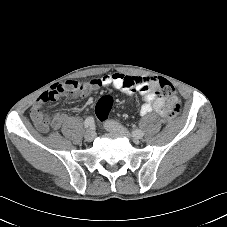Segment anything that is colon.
Segmentation results:
<instances>
[{
    "label": "colon",
    "instance_id": "5ec220e1",
    "mask_svg": "<svg viewBox=\"0 0 227 227\" xmlns=\"http://www.w3.org/2000/svg\"><path fill=\"white\" fill-rule=\"evenodd\" d=\"M158 85L163 94L170 95V94L174 93L173 85L166 79H164V78L159 79ZM112 105H113V101H112L111 96H109V95L102 96L98 100L97 105H96L97 117L100 120L106 119V117L108 116V114L112 108ZM168 117H172V116L168 115Z\"/></svg>",
    "mask_w": 227,
    "mask_h": 227
}]
</instances>
